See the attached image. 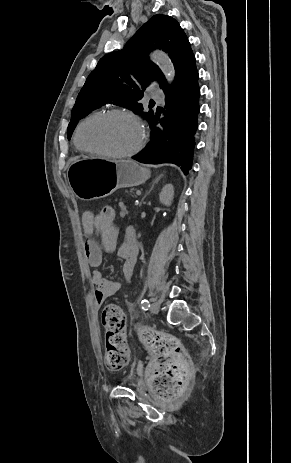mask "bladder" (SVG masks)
<instances>
[{"label":"bladder","instance_id":"obj_1","mask_svg":"<svg viewBox=\"0 0 291 463\" xmlns=\"http://www.w3.org/2000/svg\"><path fill=\"white\" fill-rule=\"evenodd\" d=\"M123 384L125 386L135 387V386H139L141 384V382L139 380H136L135 378H133V376H127L123 380Z\"/></svg>","mask_w":291,"mask_h":463}]
</instances>
